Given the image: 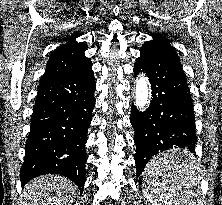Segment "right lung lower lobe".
Instances as JSON below:
<instances>
[{
  "label": "right lung lower lobe",
  "instance_id": "1",
  "mask_svg": "<svg viewBox=\"0 0 222 205\" xmlns=\"http://www.w3.org/2000/svg\"><path fill=\"white\" fill-rule=\"evenodd\" d=\"M95 89L91 67L41 79L20 170L22 185L34 177L55 173L68 177L83 190L85 143Z\"/></svg>",
  "mask_w": 222,
  "mask_h": 205
}]
</instances>
